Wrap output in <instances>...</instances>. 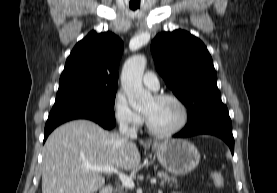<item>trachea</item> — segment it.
I'll return each mask as SVG.
<instances>
[{
    "mask_svg": "<svg viewBox=\"0 0 277 193\" xmlns=\"http://www.w3.org/2000/svg\"><path fill=\"white\" fill-rule=\"evenodd\" d=\"M138 7H139V6L130 5V8H131L132 10H136Z\"/></svg>",
    "mask_w": 277,
    "mask_h": 193,
    "instance_id": "obj_1",
    "label": "trachea"
}]
</instances>
